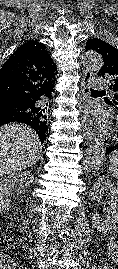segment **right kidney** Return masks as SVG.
<instances>
[{
	"mask_svg": "<svg viewBox=\"0 0 118 269\" xmlns=\"http://www.w3.org/2000/svg\"><path fill=\"white\" fill-rule=\"evenodd\" d=\"M34 175L30 171L11 174L0 182V212L10 208L11 196L24 194L33 182ZM15 188V190H13Z\"/></svg>",
	"mask_w": 118,
	"mask_h": 269,
	"instance_id": "right-kidney-1",
	"label": "right kidney"
}]
</instances>
